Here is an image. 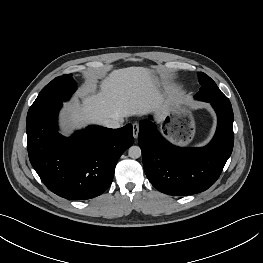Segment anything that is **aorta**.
<instances>
[{
  "label": "aorta",
  "instance_id": "aorta-1",
  "mask_svg": "<svg viewBox=\"0 0 263 263\" xmlns=\"http://www.w3.org/2000/svg\"><path fill=\"white\" fill-rule=\"evenodd\" d=\"M129 157L137 159L141 156V149L139 146H131L128 150Z\"/></svg>",
  "mask_w": 263,
  "mask_h": 263
}]
</instances>
